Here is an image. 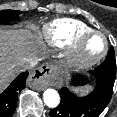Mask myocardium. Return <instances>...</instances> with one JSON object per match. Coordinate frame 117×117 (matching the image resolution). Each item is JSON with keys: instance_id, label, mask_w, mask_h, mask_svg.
Returning <instances> with one entry per match:
<instances>
[{"instance_id": "obj_1", "label": "myocardium", "mask_w": 117, "mask_h": 117, "mask_svg": "<svg viewBox=\"0 0 117 117\" xmlns=\"http://www.w3.org/2000/svg\"><path fill=\"white\" fill-rule=\"evenodd\" d=\"M93 36H99L103 40L102 50L95 56L86 57L83 54L84 43ZM108 51V40L106 36L96 30H90L77 35L72 43L68 46L67 60L69 64L77 69H86L99 63L107 54Z\"/></svg>"}]
</instances>
